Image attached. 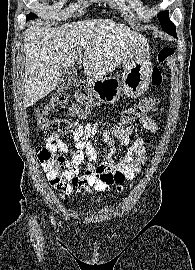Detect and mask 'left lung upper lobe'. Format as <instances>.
I'll use <instances>...</instances> for the list:
<instances>
[{
    "instance_id": "1",
    "label": "left lung upper lobe",
    "mask_w": 195,
    "mask_h": 270,
    "mask_svg": "<svg viewBox=\"0 0 195 270\" xmlns=\"http://www.w3.org/2000/svg\"><path fill=\"white\" fill-rule=\"evenodd\" d=\"M158 19L160 20V24L162 26V29L171 35L176 34V27L175 25L170 21L168 11H164L158 14Z\"/></svg>"
}]
</instances>
